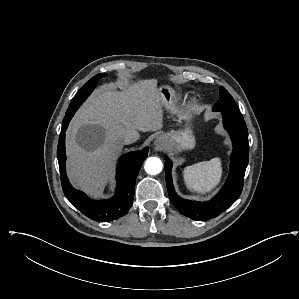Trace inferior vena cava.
<instances>
[{
	"mask_svg": "<svg viewBox=\"0 0 299 299\" xmlns=\"http://www.w3.org/2000/svg\"><path fill=\"white\" fill-rule=\"evenodd\" d=\"M139 139V133L135 130H130L124 137V144H131Z\"/></svg>",
	"mask_w": 299,
	"mask_h": 299,
	"instance_id": "1",
	"label": "inferior vena cava"
}]
</instances>
